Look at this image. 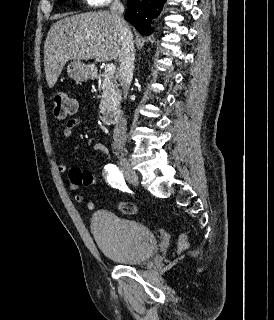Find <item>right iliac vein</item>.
<instances>
[{
    "instance_id": "63e3f726",
    "label": "right iliac vein",
    "mask_w": 274,
    "mask_h": 320,
    "mask_svg": "<svg viewBox=\"0 0 274 320\" xmlns=\"http://www.w3.org/2000/svg\"><path fill=\"white\" fill-rule=\"evenodd\" d=\"M119 165L125 178L133 185H138V176L126 159H120Z\"/></svg>"
}]
</instances>
